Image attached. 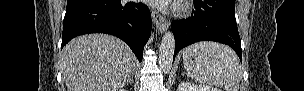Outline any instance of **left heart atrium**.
Returning a JSON list of instances; mask_svg holds the SVG:
<instances>
[{
	"label": "left heart atrium",
	"instance_id": "1",
	"mask_svg": "<svg viewBox=\"0 0 304 91\" xmlns=\"http://www.w3.org/2000/svg\"><path fill=\"white\" fill-rule=\"evenodd\" d=\"M151 2L159 8H168L174 5V1L171 0H153Z\"/></svg>",
	"mask_w": 304,
	"mask_h": 91
}]
</instances>
